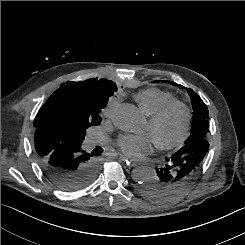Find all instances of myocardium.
<instances>
[{
	"instance_id": "myocardium-1",
	"label": "myocardium",
	"mask_w": 245,
	"mask_h": 245,
	"mask_svg": "<svg viewBox=\"0 0 245 245\" xmlns=\"http://www.w3.org/2000/svg\"><path fill=\"white\" fill-rule=\"evenodd\" d=\"M175 109L182 110V112L184 114V124H183V128H182V132L177 139H175L171 142H164V143L155 142V145L159 149L171 150V149L178 148L179 146L184 144V142L187 140V138L190 134L193 114H192V110L189 107V105H187L186 103H184L182 101H176L175 100L173 102H170L167 105H165L164 107H162L155 114L151 115L149 118L150 126L154 127L157 124H159L171 111H173Z\"/></svg>"
}]
</instances>
